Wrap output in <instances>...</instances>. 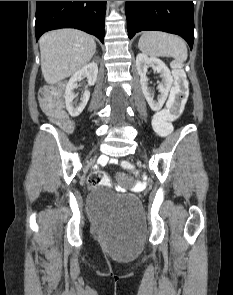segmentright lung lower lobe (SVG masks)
I'll list each match as a JSON object with an SVG mask.
<instances>
[{"label":"right lung lower lobe","mask_w":233,"mask_h":295,"mask_svg":"<svg viewBox=\"0 0 233 295\" xmlns=\"http://www.w3.org/2000/svg\"><path fill=\"white\" fill-rule=\"evenodd\" d=\"M106 1H36V39L46 31L77 28L104 42Z\"/></svg>","instance_id":"98d812e1"}]
</instances>
